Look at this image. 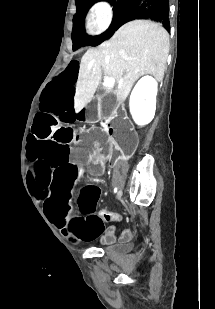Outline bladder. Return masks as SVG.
<instances>
[{
	"instance_id": "bladder-1",
	"label": "bladder",
	"mask_w": 215,
	"mask_h": 309,
	"mask_svg": "<svg viewBox=\"0 0 215 309\" xmlns=\"http://www.w3.org/2000/svg\"><path fill=\"white\" fill-rule=\"evenodd\" d=\"M115 250L118 254L125 255L131 252L132 246L130 244H121Z\"/></svg>"
}]
</instances>
